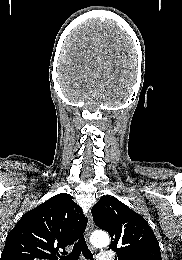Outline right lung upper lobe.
I'll use <instances>...</instances> for the list:
<instances>
[{
  "instance_id": "1",
  "label": "right lung upper lobe",
  "mask_w": 182,
  "mask_h": 260,
  "mask_svg": "<svg viewBox=\"0 0 182 260\" xmlns=\"http://www.w3.org/2000/svg\"><path fill=\"white\" fill-rule=\"evenodd\" d=\"M87 219L69 195L58 194L25 213L7 235L0 260H58Z\"/></svg>"
}]
</instances>
